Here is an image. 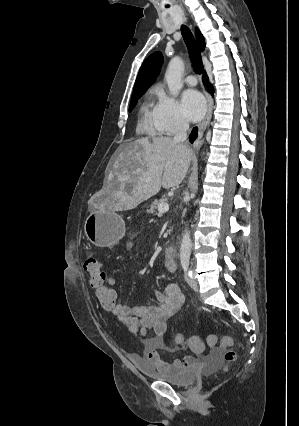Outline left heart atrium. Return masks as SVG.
I'll return each instance as SVG.
<instances>
[{
    "mask_svg": "<svg viewBox=\"0 0 299 426\" xmlns=\"http://www.w3.org/2000/svg\"><path fill=\"white\" fill-rule=\"evenodd\" d=\"M206 101L197 90L188 89L182 94V108L185 117L192 121H199L206 112Z\"/></svg>",
    "mask_w": 299,
    "mask_h": 426,
    "instance_id": "obj_1",
    "label": "left heart atrium"
}]
</instances>
